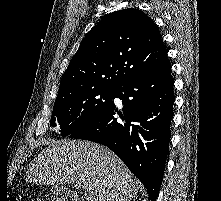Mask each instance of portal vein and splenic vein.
I'll return each instance as SVG.
<instances>
[{"mask_svg": "<svg viewBox=\"0 0 221 201\" xmlns=\"http://www.w3.org/2000/svg\"><path fill=\"white\" fill-rule=\"evenodd\" d=\"M78 185H79V186H82L81 182H78Z\"/></svg>", "mask_w": 221, "mask_h": 201, "instance_id": "obj_1", "label": "portal vein and splenic vein"}]
</instances>
